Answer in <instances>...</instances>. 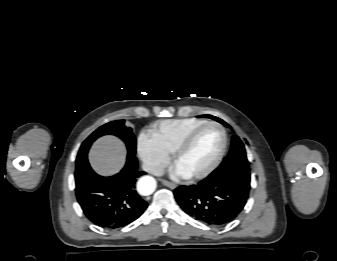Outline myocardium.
<instances>
[{
  "instance_id": "f54148a6",
  "label": "myocardium",
  "mask_w": 337,
  "mask_h": 261,
  "mask_svg": "<svg viewBox=\"0 0 337 261\" xmlns=\"http://www.w3.org/2000/svg\"><path fill=\"white\" fill-rule=\"evenodd\" d=\"M207 127H216L217 129H219L221 135H222V145L221 148L217 154V156L214 158V160L203 170L194 173V174H190V175H186L185 177L189 180H199V179H203L207 176H209L222 162L227 147H228V135L227 132L225 130V128L218 122L216 121H206L200 125H198L197 127H195L194 129H192L185 137L184 139L180 142V144L177 146V148L175 149V151L173 152V164L175 166H177V163L179 161V159L182 157V155L189 149V147L192 145L193 141L195 140V138L197 137V135L204 130Z\"/></svg>"
}]
</instances>
